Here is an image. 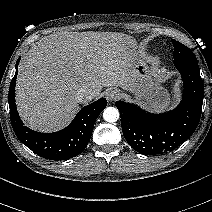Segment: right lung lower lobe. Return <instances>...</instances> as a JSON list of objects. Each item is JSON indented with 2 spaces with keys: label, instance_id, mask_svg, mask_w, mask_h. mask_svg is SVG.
<instances>
[{
  "label": "right lung lower lobe",
  "instance_id": "right-lung-lower-lobe-1",
  "mask_svg": "<svg viewBox=\"0 0 212 212\" xmlns=\"http://www.w3.org/2000/svg\"><path fill=\"white\" fill-rule=\"evenodd\" d=\"M11 81L8 95L10 118L13 130L18 139L37 155L50 160H66L82 153L87 146L93 131L94 123L107 106V100L101 98L82 108L71 124L55 133H39L24 126L15 104V84L18 70Z\"/></svg>",
  "mask_w": 212,
  "mask_h": 212
}]
</instances>
